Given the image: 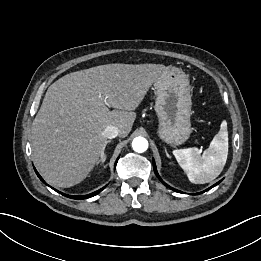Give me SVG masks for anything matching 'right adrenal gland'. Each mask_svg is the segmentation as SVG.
I'll return each instance as SVG.
<instances>
[{"label": "right adrenal gland", "instance_id": "2a0ac1e0", "mask_svg": "<svg viewBox=\"0 0 261 261\" xmlns=\"http://www.w3.org/2000/svg\"><path fill=\"white\" fill-rule=\"evenodd\" d=\"M111 141L109 140L108 141V143H110ZM105 159H106V154H103L102 156H101V159H100V163H101V165L104 163V161H105Z\"/></svg>", "mask_w": 261, "mask_h": 261}]
</instances>
